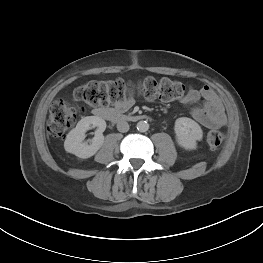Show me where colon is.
Returning a JSON list of instances; mask_svg holds the SVG:
<instances>
[{
    "instance_id": "obj_1",
    "label": "colon",
    "mask_w": 263,
    "mask_h": 263,
    "mask_svg": "<svg viewBox=\"0 0 263 263\" xmlns=\"http://www.w3.org/2000/svg\"><path fill=\"white\" fill-rule=\"evenodd\" d=\"M140 92L146 99H160L165 102L184 98L189 88L181 81L170 78L155 79L146 77L137 83L123 79L109 81H90L74 92V97L91 106H106L123 102L134 91ZM80 110L61 100H55L48 119V132L53 137H62L77 121ZM224 141V133L211 130L206 135V143L211 148L219 147Z\"/></svg>"
}]
</instances>
